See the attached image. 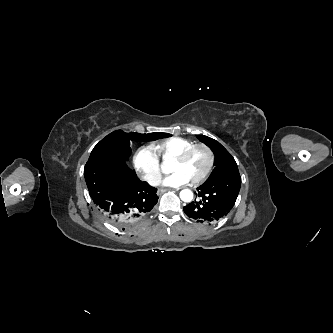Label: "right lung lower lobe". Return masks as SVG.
I'll return each instance as SVG.
<instances>
[{"mask_svg":"<svg viewBox=\"0 0 333 333\" xmlns=\"http://www.w3.org/2000/svg\"><path fill=\"white\" fill-rule=\"evenodd\" d=\"M84 177L102 215L119 228L133 225L157 203V189L140 181L125 161L103 157L89 159Z\"/></svg>","mask_w":333,"mask_h":333,"instance_id":"obj_1","label":"right lung lower lobe"}]
</instances>
